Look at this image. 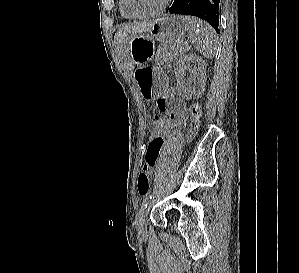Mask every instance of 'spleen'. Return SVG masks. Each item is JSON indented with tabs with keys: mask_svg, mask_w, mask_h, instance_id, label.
Returning a JSON list of instances; mask_svg holds the SVG:
<instances>
[{
	"mask_svg": "<svg viewBox=\"0 0 299 273\" xmlns=\"http://www.w3.org/2000/svg\"><path fill=\"white\" fill-rule=\"evenodd\" d=\"M190 43L204 57L211 59L215 55L217 35L207 22L196 17H185Z\"/></svg>",
	"mask_w": 299,
	"mask_h": 273,
	"instance_id": "obj_1",
	"label": "spleen"
}]
</instances>
